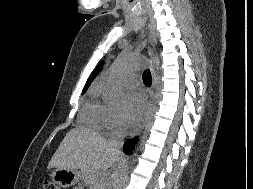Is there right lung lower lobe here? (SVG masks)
I'll use <instances>...</instances> for the list:
<instances>
[{"mask_svg": "<svg viewBox=\"0 0 253 189\" xmlns=\"http://www.w3.org/2000/svg\"><path fill=\"white\" fill-rule=\"evenodd\" d=\"M136 142V139L132 140V141H126L124 144V151L130 155L132 154V149L134 147V144Z\"/></svg>", "mask_w": 253, "mask_h": 189, "instance_id": "obj_1", "label": "right lung lower lobe"}]
</instances>
